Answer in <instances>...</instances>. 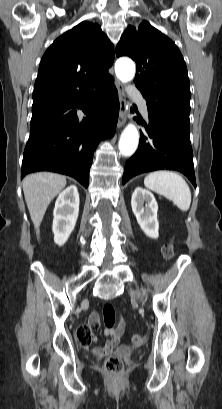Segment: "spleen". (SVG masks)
I'll return each instance as SVG.
<instances>
[{
    "label": "spleen",
    "mask_w": 222,
    "mask_h": 409,
    "mask_svg": "<svg viewBox=\"0 0 222 409\" xmlns=\"http://www.w3.org/2000/svg\"><path fill=\"white\" fill-rule=\"evenodd\" d=\"M144 185L171 200L181 211L189 210L191 191L179 174L172 171H155L145 177Z\"/></svg>",
    "instance_id": "spleen-1"
}]
</instances>
